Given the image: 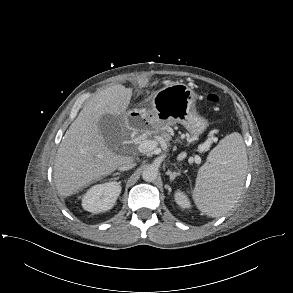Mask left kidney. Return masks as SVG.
I'll use <instances>...</instances> for the list:
<instances>
[{
	"label": "left kidney",
	"mask_w": 293,
	"mask_h": 293,
	"mask_svg": "<svg viewBox=\"0 0 293 293\" xmlns=\"http://www.w3.org/2000/svg\"><path fill=\"white\" fill-rule=\"evenodd\" d=\"M175 201L181 208H190L191 204L188 197L181 191H176Z\"/></svg>",
	"instance_id": "1"
}]
</instances>
